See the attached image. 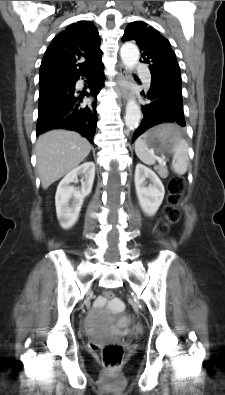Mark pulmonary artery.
<instances>
[{"label":"pulmonary artery","instance_id":"e3ab8cb5","mask_svg":"<svg viewBox=\"0 0 225 395\" xmlns=\"http://www.w3.org/2000/svg\"><path fill=\"white\" fill-rule=\"evenodd\" d=\"M138 69H139V71L141 73V76L143 78V81H144L145 85L149 86L150 83H151V74H150V72L146 68L141 66V65L138 66Z\"/></svg>","mask_w":225,"mask_h":395}]
</instances>
